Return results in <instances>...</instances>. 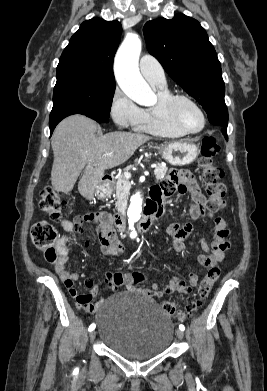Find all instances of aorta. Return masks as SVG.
I'll return each mask as SVG.
<instances>
[{"label": "aorta", "mask_w": 267, "mask_h": 391, "mask_svg": "<svg viewBox=\"0 0 267 391\" xmlns=\"http://www.w3.org/2000/svg\"><path fill=\"white\" fill-rule=\"evenodd\" d=\"M141 48L139 36L128 34L116 53L115 74L121 90L136 103L145 105L152 99L153 93L139 71ZM142 202V195L139 192L131 198L128 223L132 235L135 234V224L141 217Z\"/></svg>", "instance_id": "aorta-1"}]
</instances>
